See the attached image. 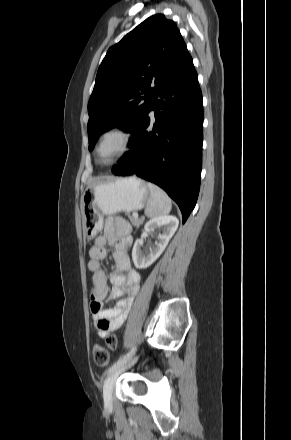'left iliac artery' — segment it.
<instances>
[{
  "mask_svg": "<svg viewBox=\"0 0 291 440\" xmlns=\"http://www.w3.org/2000/svg\"><path fill=\"white\" fill-rule=\"evenodd\" d=\"M136 351V347H133L128 353H126L123 357H121L118 361L113 363L107 370V374H111L114 370H116L118 367L124 365L131 359V357L134 355Z\"/></svg>",
  "mask_w": 291,
  "mask_h": 440,
  "instance_id": "1",
  "label": "left iliac artery"
}]
</instances>
